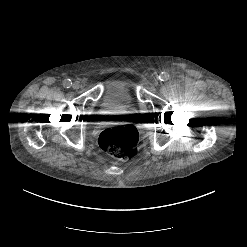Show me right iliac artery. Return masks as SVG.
<instances>
[{
    "label": "right iliac artery",
    "mask_w": 247,
    "mask_h": 247,
    "mask_svg": "<svg viewBox=\"0 0 247 247\" xmlns=\"http://www.w3.org/2000/svg\"><path fill=\"white\" fill-rule=\"evenodd\" d=\"M71 85H72V82H71V80H70V79H66V80H64V82H63V86H64L65 88H70V87H71Z\"/></svg>",
    "instance_id": "obj_1"
}]
</instances>
